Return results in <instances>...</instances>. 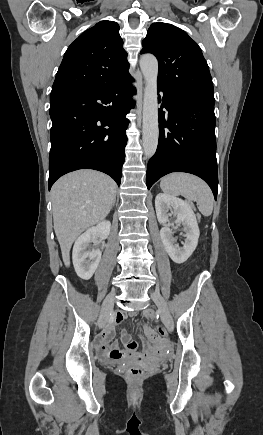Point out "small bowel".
I'll return each mask as SVG.
<instances>
[{
	"label": "small bowel",
	"mask_w": 263,
	"mask_h": 435,
	"mask_svg": "<svg viewBox=\"0 0 263 435\" xmlns=\"http://www.w3.org/2000/svg\"><path fill=\"white\" fill-rule=\"evenodd\" d=\"M148 315V314H146ZM126 315L123 312H118L113 322L109 323L104 331V333L97 339V347L106 357L114 360L121 359L123 357H137L139 353L137 352V343L133 341L130 335L123 331L121 333V340L125 344V349H121L119 343L114 341L115 338V324H120L124 321ZM145 332L147 334L148 340H152L150 346L145 344V353L155 356L157 361H162L164 359L163 354V336L158 334L157 331H152L151 328L145 327Z\"/></svg>",
	"instance_id": "1"
}]
</instances>
